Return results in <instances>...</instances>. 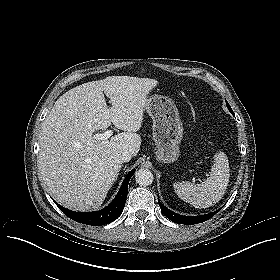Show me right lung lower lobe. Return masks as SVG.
Returning a JSON list of instances; mask_svg holds the SVG:
<instances>
[{
	"label": "right lung lower lobe",
	"instance_id": "obj_1",
	"mask_svg": "<svg viewBox=\"0 0 280 280\" xmlns=\"http://www.w3.org/2000/svg\"><path fill=\"white\" fill-rule=\"evenodd\" d=\"M135 171L136 170L133 169L127 174L116 197L107 207L102 210L96 212H74L62 207L56 202L55 203L64 214L74 221L95 226L111 223L119 217L124 209L127 198L128 183Z\"/></svg>",
	"mask_w": 280,
	"mask_h": 280
}]
</instances>
